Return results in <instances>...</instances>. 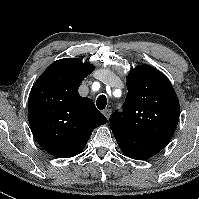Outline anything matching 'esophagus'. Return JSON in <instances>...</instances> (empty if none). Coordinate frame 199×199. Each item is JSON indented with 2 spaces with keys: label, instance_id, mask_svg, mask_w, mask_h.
I'll return each mask as SVG.
<instances>
[{
  "label": "esophagus",
  "instance_id": "obj_1",
  "mask_svg": "<svg viewBox=\"0 0 199 199\" xmlns=\"http://www.w3.org/2000/svg\"><path fill=\"white\" fill-rule=\"evenodd\" d=\"M110 113H111V110H110V109H105V110H103V114L106 116V118H109Z\"/></svg>",
  "mask_w": 199,
  "mask_h": 199
}]
</instances>
